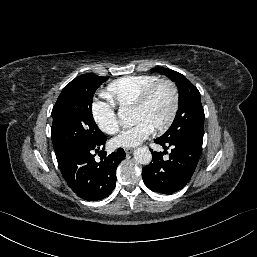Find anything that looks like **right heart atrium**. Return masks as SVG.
Here are the masks:
<instances>
[{
    "mask_svg": "<svg viewBox=\"0 0 257 257\" xmlns=\"http://www.w3.org/2000/svg\"><path fill=\"white\" fill-rule=\"evenodd\" d=\"M93 119L97 124L98 128L106 134H114L118 130L119 125L114 113H111L109 115L108 121H102L96 114V111L94 110V107H93Z\"/></svg>",
    "mask_w": 257,
    "mask_h": 257,
    "instance_id": "1",
    "label": "right heart atrium"
}]
</instances>
